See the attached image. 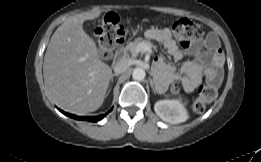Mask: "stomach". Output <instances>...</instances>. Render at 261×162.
Segmentation results:
<instances>
[{
	"label": "stomach",
	"mask_w": 261,
	"mask_h": 162,
	"mask_svg": "<svg viewBox=\"0 0 261 162\" xmlns=\"http://www.w3.org/2000/svg\"><path fill=\"white\" fill-rule=\"evenodd\" d=\"M133 33H134V34H136V33H137V31H134Z\"/></svg>",
	"instance_id": "0dacf381"
}]
</instances>
